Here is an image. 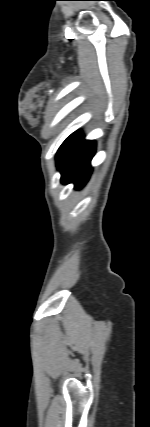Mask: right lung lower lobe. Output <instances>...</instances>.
I'll use <instances>...</instances> for the list:
<instances>
[{
  "label": "right lung lower lobe",
  "instance_id": "98d812e1",
  "mask_svg": "<svg viewBox=\"0 0 150 427\" xmlns=\"http://www.w3.org/2000/svg\"><path fill=\"white\" fill-rule=\"evenodd\" d=\"M94 141H85L81 132L70 135L57 153V167L61 172V182H74L75 188H82L88 181L90 161L95 153Z\"/></svg>",
  "mask_w": 150,
  "mask_h": 427
}]
</instances>
